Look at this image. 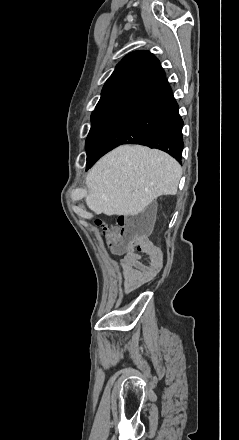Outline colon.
<instances>
[{"label":"colon","mask_w":239,"mask_h":440,"mask_svg":"<svg viewBox=\"0 0 239 440\" xmlns=\"http://www.w3.org/2000/svg\"><path fill=\"white\" fill-rule=\"evenodd\" d=\"M96 225L101 227L100 222ZM144 228L138 219L133 217H125L119 220L118 229L103 230V235L107 238L110 249L121 254L129 247H138L145 243Z\"/></svg>","instance_id":"1"}]
</instances>
